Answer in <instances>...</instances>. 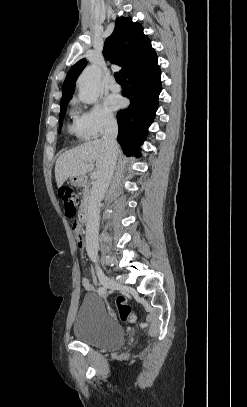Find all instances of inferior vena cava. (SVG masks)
Returning a JSON list of instances; mask_svg holds the SVG:
<instances>
[{
  "instance_id": "obj_1",
  "label": "inferior vena cava",
  "mask_w": 247,
  "mask_h": 407,
  "mask_svg": "<svg viewBox=\"0 0 247 407\" xmlns=\"http://www.w3.org/2000/svg\"><path fill=\"white\" fill-rule=\"evenodd\" d=\"M117 134V122L115 120H108L102 137V142L108 152V160L102 173L98 176L92 187L86 222V251L89 258L94 262H96L98 254V233L100 223L99 207L116 166L118 150L116 141Z\"/></svg>"
}]
</instances>
